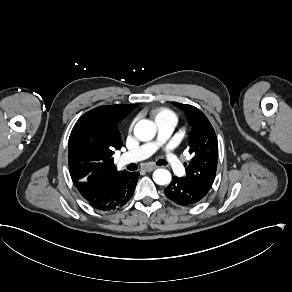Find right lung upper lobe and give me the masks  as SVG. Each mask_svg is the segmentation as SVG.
<instances>
[{
  "label": "right lung upper lobe",
  "mask_w": 292,
  "mask_h": 292,
  "mask_svg": "<svg viewBox=\"0 0 292 292\" xmlns=\"http://www.w3.org/2000/svg\"><path fill=\"white\" fill-rule=\"evenodd\" d=\"M136 107L100 106L78 119L68 142L69 171L76 186L99 183L121 173L113 162L114 151L122 146L118 123Z\"/></svg>",
  "instance_id": "obj_1"
}]
</instances>
